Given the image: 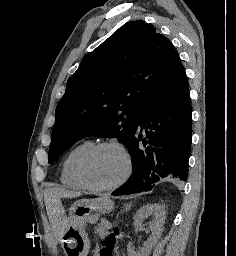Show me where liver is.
<instances>
[{
	"mask_svg": "<svg viewBox=\"0 0 236 256\" xmlns=\"http://www.w3.org/2000/svg\"><path fill=\"white\" fill-rule=\"evenodd\" d=\"M60 196L61 194L59 190H56V188H49V190H45L44 200L46 210L49 212L50 216H54V214H57L58 210H61L60 204H57V200ZM64 196H66V198H79L81 194L80 192H67L66 190Z\"/></svg>",
	"mask_w": 236,
	"mask_h": 256,
	"instance_id": "6515ba94",
	"label": "liver"
}]
</instances>
